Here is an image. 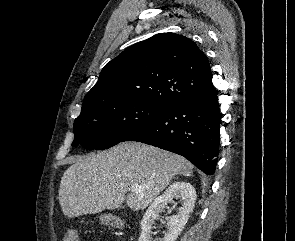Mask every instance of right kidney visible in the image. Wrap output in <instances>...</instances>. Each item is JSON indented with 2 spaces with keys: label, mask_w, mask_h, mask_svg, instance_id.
<instances>
[{
  "label": "right kidney",
  "mask_w": 295,
  "mask_h": 241,
  "mask_svg": "<svg viewBox=\"0 0 295 241\" xmlns=\"http://www.w3.org/2000/svg\"><path fill=\"white\" fill-rule=\"evenodd\" d=\"M173 199H179L181 207L176 215L169 217L168 231L160 241H175L178 238L188 221L189 214L192 212L196 200L194 187L184 181L174 182L166 189L164 194L152 202L141 220L142 232L138 241H152L151 232L153 224L167 204L172 202Z\"/></svg>",
  "instance_id": "right-kidney-1"
}]
</instances>
